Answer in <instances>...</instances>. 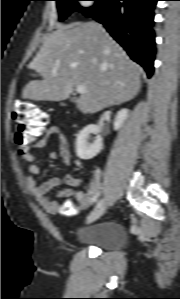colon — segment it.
<instances>
[{"label":"colon","instance_id":"5ec220e1","mask_svg":"<svg viewBox=\"0 0 180 299\" xmlns=\"http://www.w3.org/2000/svg\"><path fill=\"white\" fill-rule=\"evenodd\" d=\"M13 120L17 124L15 142L20 152L27 153L36 138L42 133L47 116L37 105L30 102H19L13 108ZM62 210L66 213H73L74 209L64 206Z\"/></svg>","mask_w":180,"mask_h":299}]
</instances>
